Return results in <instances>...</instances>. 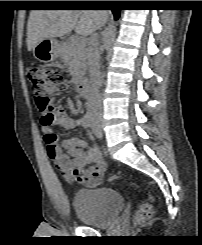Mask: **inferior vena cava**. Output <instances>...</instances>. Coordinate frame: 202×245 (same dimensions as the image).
<instances>
[{"instance_id":"1","label":"inferior vena cava","mask_w":202,"mask_h":245,"mask_svg":"<svg viewBox=\"0 0 202 245\" xmlns=\"http://www.w3.org/2000/svg\"><path fill=\"white\" fill-rule=\"evenodd\" d=\"M87 59L91 79V90L88 97L87 106L88 110L91 113H99L102 109L99 95V87L101 85V72L100 52L98 49V36L96 33H93L90 37Z\"/></svg>"}]
</instances>
